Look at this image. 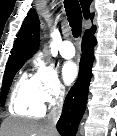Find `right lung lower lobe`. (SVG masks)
<instances>
[{
    "label": "right lung lower lobe",
    "mask_w": 117,
    "mask_h": 136,
    "mask_svg": "<svg viewBox=\"0 0 117 136\" xmlns=\"http://www.w3.org/2000/svg\"><path fill=\"white\" fill-rule=\"evenodd\" d=\"M94 33L95 30L86 32L82 38L78 79L66 96L61 117L57 122V130L62 136L75 135L86 109L88 87L92 76L91 68L94 61L93 49L96 45Z\"/></svg>",
    "instance_id": "1"
}]
</instances>
